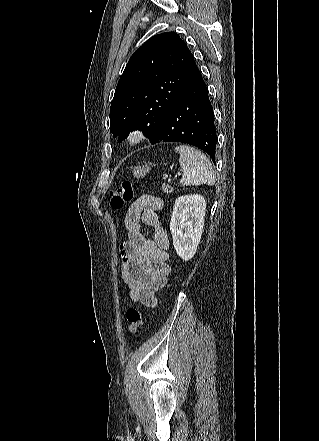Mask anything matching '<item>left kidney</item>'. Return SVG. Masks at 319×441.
I'll return each instance as SVG.
<instances>
[{
  "label": "left kidney",
  "instance_id": "1",
  "mask_svg": "<svg viewBox=\"0 0 319 441\" xmlns=\"http://www.w3.org/2000/svg\"><path fill=\"white\" fill-rule=\"evenodd\" d=\"M206 201L200 195L180 196L170 221L173 245L179 257L190 260L201 240Z\"/></svg>",
  "mask_w": 319,
  "mask_h": 441
}]
</instances>
